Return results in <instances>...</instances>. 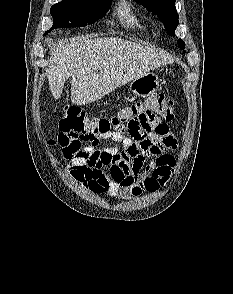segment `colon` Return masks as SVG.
Here are the masks:
<instances>
[{"mask_svg":"<svg viewBox=\"0 0 233 294\" xmlns=\"http://www.w3.org/2000/svg\"><path fill=\"white\" fill-rule=\"evenodd\" d=\"M128 108L135 110H161V117L174 118V101L165 94H156L144 103L124 107L111 117L91 116L76 106L65 108L59 120V134L52 144L56 145L63 157L72 160L76 157L98 156L99 150H93L100 140L110 139L114 133H124L126 128L120 124L126 119ZM89 146L82 147V143Z\"/></svg>","mask_w":233,"mask_h":294,"instance_id":"1","label":"colon"}]
</instances>
